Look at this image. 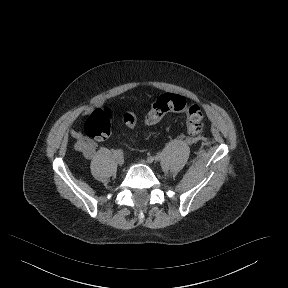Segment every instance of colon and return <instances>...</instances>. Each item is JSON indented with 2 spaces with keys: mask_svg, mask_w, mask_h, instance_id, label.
Masks as SVG:
<instances>
[{
  "mask_svg": "<svg viewBox=\"0 0 288 288\" xmlns=\"http://www.w3.org/2000/svg\"><path fill=\"white\" fill-rule=\"evenodd\" d=\"M184 112L186 115V129L190 134L196 135L203 128V112L196 104H188L187 99L180 94H165L159 97L147 113L145 124L155 125L169 113ZM112 112L107 107L95 109L84 124L85 135L93 140L106 139L112 129ZM125 124L135 128L138 120L133 116L125 119Z\"/></svg>",
  "mask_w": 288,
  "mask_h": 288,
  "instance_id": "1",
  "label": "colon"
}]
</instances>
